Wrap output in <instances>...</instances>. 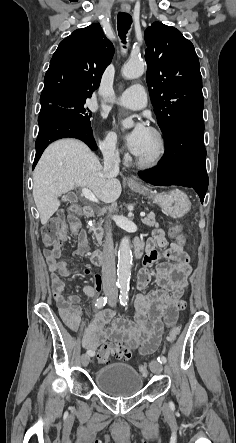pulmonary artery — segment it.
Returning <instances> with one entry per match:
<instances>
[{"instance_id": "obj_1", "label": "pulmonary artery", "mask_w": 236, "mask_h": 443, "mask_svg": "<svg viewBox=\"0 0 236 443\" xmlns=\"http://www.w3.org/2000/svg\"><path fill=\"white\" fill-rule=\"evenodd\" d=\"M109 102L130 109H141L146 105L147 97L143 86L133 85L126 89L119 96L109 100Z\"/></svg>"}]
</instances>
